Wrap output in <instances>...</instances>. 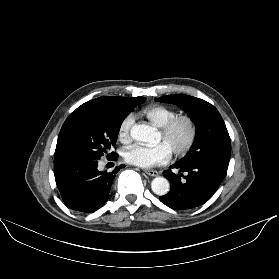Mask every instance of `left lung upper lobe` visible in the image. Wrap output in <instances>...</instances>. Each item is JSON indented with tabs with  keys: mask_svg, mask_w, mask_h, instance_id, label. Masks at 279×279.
<instances>
[{
	"mask_svg": "<svg viewBox=\"0 0 279 279\" xmlns=\"http://www.w3.org/2000/svg\"><path fill=\"white\" fill-rule=\"evenodd\" d=\"M155 100L181 107L196 125L193 145L177 163L210 161L224 169L228 168L231 155L230 137L220 113L213 105L184 94L166 95Z\"/></svg>",
	"mask_w": 279,
	"mask_h": 279,
	"instance_id": "left-lung-upper-lobe-1",
	"label": "left lung upper lobe"
}]
</instances>
